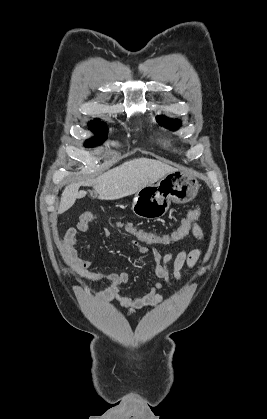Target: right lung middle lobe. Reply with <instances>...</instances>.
Wrapping results in <instances>:
<instances>
[{
    "label": "right lung middle lobe",
    "mask_w": 267,
    "mask_h": 419,
    "mask_svg": "<svg viewBox=\"0 0 267 419\" xmlns=\"http://www.w3.org/2000/svg\"><path fill=\"white\" fill-rule=\"evenodd\" d=\"M89 125L90 130L98 134V137L89 139L85 144L87 147H92L102 143L106 139L108 129L104 126L103 122L99 121H92Z\"/></svg>",
    "instance_id": "obj_1"
}]
</instances>
